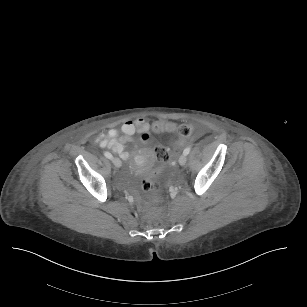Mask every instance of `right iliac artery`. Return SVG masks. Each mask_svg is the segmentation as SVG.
Wrapping results in <instances>:
<instances>
[{
  "label": "right iliac artery",
  "mask_w": 307,
  "mask_h": 307,
  "mask_svg": "<svg viewBox=\"0 0 307 307\" xmlns=\"http://www.w3.org/2000/svg\"><path fill=\"white\" fill-rule=\"evenodd\" d=\"M104 156L107 157L108 159L112 158V154L109 152H104Z\"/></svg>",
  "instance_id": "1"
}]
</instances>
